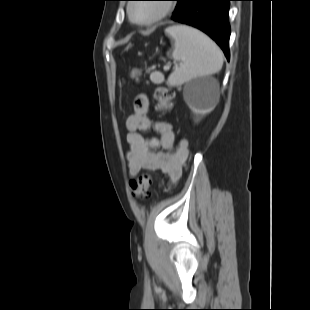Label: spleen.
I'll return each instance as SVG.
<instances>
[{
    "instance_id": "spleen-1",
    "label": "spleen",
    "mask_w": 310,
    "mask_h": 310,
    "mask_svg": "<svg viewBox=\"0 0 310 310\" xmlns=\"http://www.w3.org/2000/svg\"><path fill=\"white\" fill-rule=\"evenodd\" d=\"M173 40L171 57L180 66L169 76V86L181 85L196 77L219 72L223 53L207 35L186 25H174L165 30ZM136 72L132 75L134 76Z\"/></svg>"
}]
</instances>
